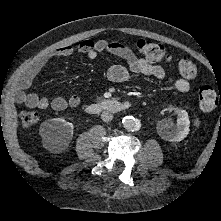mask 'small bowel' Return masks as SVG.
I'll use <instances>...</instances> for the list:
<instances>
[{"label":"small bowel","instance_id":"small-bowel-1","mask_svg":"<svg viewBox=\"0 0 221 221\" xmlns=\"http://www.w3.org/2000/svg\"><path fill=\"white\" fill-rule=\"evenodd\" d=\"M76 52L90 59H95L103 53L113 54L122 58L126 62V66L114 65L107 71V78L114 83L127 82L134 74L153 76L160 80L164 79L166 76L162 66L136 56L129 47L121 42L108 41L106 39H88L81 42L77 47L63 45L45 52L31 62L18 78L16 91L17 101L24 103L29 108H36L39 110L51 108L56 111H62L67 107L75 108L79 106L80 97L77 94H73L69 98L56 96L53 99H49L33 92H26L33 78L50 60L54 58L71 57ZM173 87L181 93H187L190 90V83L185 79L178 78L173 82Z\"/></svg>","mask_w":221,"mask_h":221}]
</instances>
